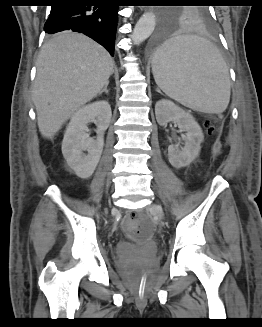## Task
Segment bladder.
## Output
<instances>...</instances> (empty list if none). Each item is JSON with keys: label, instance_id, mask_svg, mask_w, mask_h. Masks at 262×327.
Segmentation results:
<instances>
[{"label": "bladder", "instance_id": "31cf9c89", "mask_svg": "<svg viewBox=\"0 0 262 327\" xmlns=\"http://www.w3.org/2000/svg\"><path fill=\"white\" fill-rule=\"evenodd\" d=\"M139 257V252L135 250H130L124 257H121L118 261V267L128 268L131 266L132 262L136 261Z\"/></svg>", "mask_w": 262, "mask_h": 327}]
</instances>
